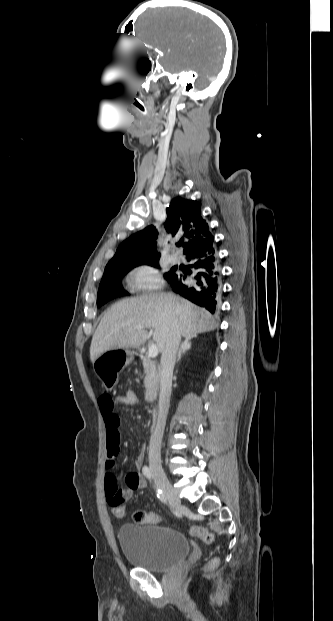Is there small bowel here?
Returning <instances> with one entry per match:
<instances>
[{
  "mask_svg": "<svg viewBox=\"0 0 333 621\" xmlns=\"http://www.w3.org/2000/svg\"><path fill=\"white\" fill-rule=\"evenodd\" d=\"M121 396L115 398L111 395L104 393L98 399V405L103 417L106 437H107V469L110 470L115 466V460L119 453L120 445V419L115 412V402L121 403ZM144 462V452L141 451L134 459V466L136 470H130L125 476V488H120L118 485L117 476L108 471L105 475V489L108 504L113 509L117 506L124 508V503L127 502L136 490L142 489L146 486V481L143 475L140 473V469Z\"/></svg>",
  "mask_w": 333,
  "mask_h": 621,
  "instance_id": "small-bowel-1",
  "label": "small bowel"
}]
</instances>
